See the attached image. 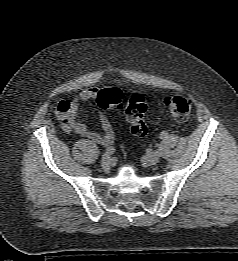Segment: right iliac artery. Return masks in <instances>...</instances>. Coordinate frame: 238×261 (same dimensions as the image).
Here are the masks:
<instances>
[{
  "mask_svg": "<svg viewBox=\"0 0 238 261\" xmlns=\"http://www.w3.org/2000/svg\"><path fill=\"white\" fill-rule=\"evenodd\" d=\"M114 152H115V149L113 147H107L106 148L107 154L112 155V154H114Z\"/></svg>",
  "mask_w": 238,
  "mask_h": 261,
  "instance_id": "obj_1",
  "label": "right iliac artery"
}]
</instances>
